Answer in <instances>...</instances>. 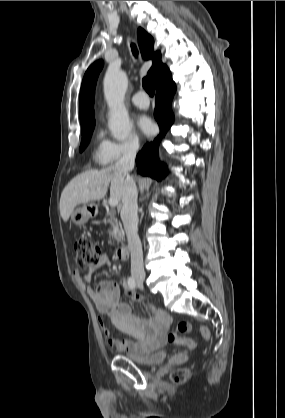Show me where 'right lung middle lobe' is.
Listing matches in <instances>:
<instances>
[{"label":"right lung middle lobe","mask_w":285,"mask_h":418,"mask_svg":"<svg viewBox=\"0 0 285 418\" xmlns=\"http://www.w3.org/2000/svg\"><path fill=\"white\" fill-rule=\"evenodd\" d=\"M95 123H92L90 125H87L82 129V140H81V146H80V151H83L85 149V147L87 146V144L89 143L92 131L94 129Z\"/></svg>","instance_id":"1"}]
</instances>
